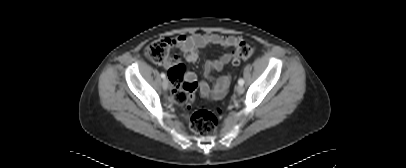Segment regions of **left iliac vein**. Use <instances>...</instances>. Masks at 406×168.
Segmentation results:
<instances>
[{"label": "left iliac vein", "instance_id": "obj_1", "mask_svg": "<svg viewBox=\"0 0 406 168\" xmlns=\"http://www.w3.org/2000/svg\"><path fill=\"white\" fill-rule=\"evenodd\" d=\"M236 91L238 94H242L244 92V87L242 85H238L236 87Z\"/></svg>", "mask_w": 406, "mask_h": 168}]
</instances>
